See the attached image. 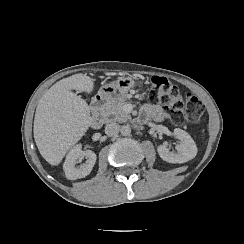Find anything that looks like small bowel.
I'll list each match as a JSON object with an SVG mask.
<instances>
[{
    "label": "small bowel",
    "instance_id": "1",
    "mask_svg": "<svg viewBox=\"0 0 244 244\" xmlns=\"http://www.w3.org/2000/svg\"><path fill=\"white\" fill-rule=\"evenodd\" d=\"M140 117L144 122L151 119L160 122L166 119L167 114L164 109L158 105L145 104L141 109Z\"/></svg>",
    "mask_w": 244,
    "mask_h": 244
}]
</instances>
